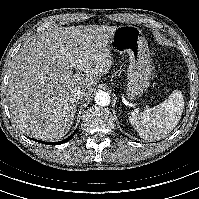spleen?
Wrapping results in <instances>:
<instances>
[{"label":"spleen","instance_id":"obj_1","mask_svg":"<svg viewBox=\"0 0 199 199\" xmlns=\"http://www.w3.org/2000/svg\"><path fill=\"white\" fill-rule=\"evenodd\" d=\"M183 109L182 93L175 90L163 103L140 113L138 111L129 113V121L141 138L161 139L177 126Z\"/></svg>","mask_w":199,"mask_h":199}]
</instances>
